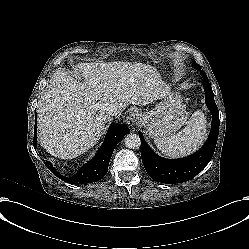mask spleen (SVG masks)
<instances>
[{"instance_id": "spleen-1", "label": "spleen", "mask_w": 249, "mask_h": 249, "mask_svg": "<svg viewBox=\"0 0 249 249\" xmlns=\"http://www.w3.org/2000/svg\"><path fill=\"white\" fill-rule=\"evenodd\" d=\"M206 117L201 110L192 114L187 126L172 136L156 137L157 148L169 158H180L191 154L202 145L206 136Z\"/></svg>"}]
</instances>
